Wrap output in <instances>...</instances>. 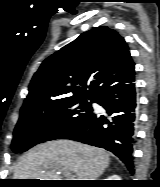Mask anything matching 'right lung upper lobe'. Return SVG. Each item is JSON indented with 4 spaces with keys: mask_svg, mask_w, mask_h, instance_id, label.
I'll use <instances>...</instances> for the list:
<instances>
[{
    "mask_svg": "<svg viewBox=\"0 0 160 187\" xmlns=\"http://www.w3.org/2000/svg\"><path fill=\"white\" fill-rule=\"evenodd\" d=\"M132 63L122 36L107 26L93 28L43 61L31 80L21 112L94 98Z\"/></svg>",
    "mask_w": 160,
    "mask_h": 187,
    "instance_id": "1",
    "label": "right lung upper lobe"
}]
</instances>
